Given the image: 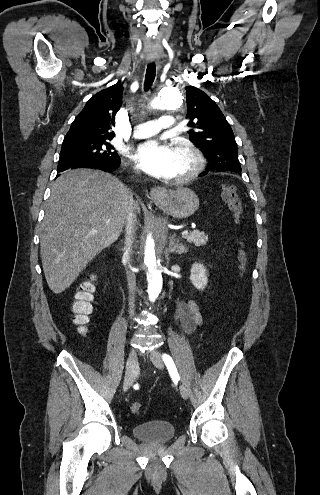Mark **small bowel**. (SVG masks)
<instances>
[{
  "label": "small bowel",
  "instance_id": "c3829d8e",
  "mask_svg": "<svg viewBox=\"0 0 320 495\" xmlns=\"http://www.w3.org/2000/svg\"><path fill=\"white\" fill-rule=\"evenodd\" d=\"M175 318L188 334H192L196 328L205 324L198 304L192 299H187L179 303L176 308Z\"/></svg>",
  "mask_w": 320,
  "mask_h": 495
}]
</instances>
